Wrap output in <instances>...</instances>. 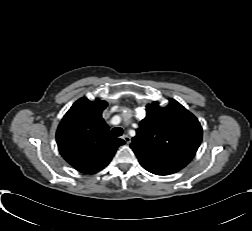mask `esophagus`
I'll use <instances>...</instances> for the list:
<instances>
[{
	"instance_id": "34e87169",
	"label": "esophagus",
	"mask_w": 252,
	"mask_h": 231,
	"mask_svg": "<svg viewBox=\"0 0 252 231\" xmlns=\"http://www.w3.org/2000/svg\"><path fill=\"white\" fill-rule=\"evenodd\" d=\"M122 138L127 144L131 143V138L127 134L123 135Z\"/></svg>"
}]
</instances>
